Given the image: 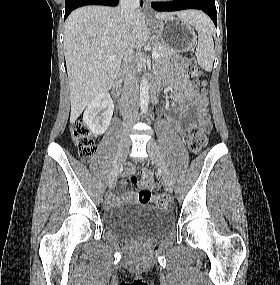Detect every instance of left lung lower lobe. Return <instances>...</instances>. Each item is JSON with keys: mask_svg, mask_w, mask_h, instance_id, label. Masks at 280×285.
Masks as SVG:
<instances>
[{"mask_svg": "<svg viewBox=\"0 0 280 285\" xmlns=\"http://www.w3.org/2000/svg\"><path fill=\"white\" fill-rule=\"evenodd\" d=\"M151 7L156 11L199 9L209 15L215 25L217 23L215 0H173L166 3H152Z\"/></svg>", "mask_w": 280, "mask_h": 285, "instance_id": "left-lung-lower-lobe-1", "label": "left lung lower lobe"}]
</instances>
